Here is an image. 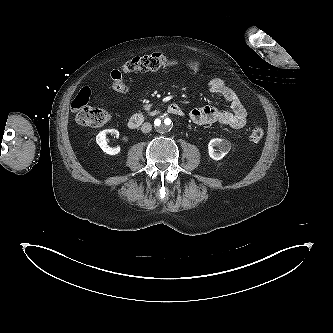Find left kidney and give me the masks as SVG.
Listing matches in <instances>:
<instances>
[{"label": "left kidney", "mask_w": 333, "mask_h": 333, "mask_svg": "<svg viewBox=\"0 0 333 333\" xmlns=\"http://www.w3.org/2000/svg\"><path fill=\"white\" fill-rule=\"evenodd\" d=\"M215 148H218L217 150ZM231 149V143L224 139L214 138L208 143V153L213 160H221Z\"/></svg>", "instance_id": "5707ae66"}]
</instances>
